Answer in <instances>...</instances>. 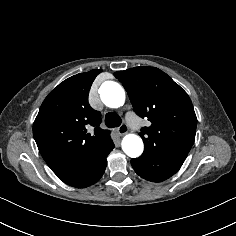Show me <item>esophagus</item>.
I'll use <instances>...</instances> for the list:
<instances>
[{
  "label": "esophagus",
  "mask_w": 236,
  "mask_h": 236,
  "mask_svg": "<svg viewBox=\"0 0 236 236\" xmlns=\"http://www.w3.org/2000/svg\"><path fill=\"white\" fill-rule=\"evenodd\" d=\"M128 132V127H127V125L126 124H121L120 126H119V128H118V133H119V135H125L126 133Z\"/></svg>",
  "instance_id": "obj_1"
}]
</instances>
